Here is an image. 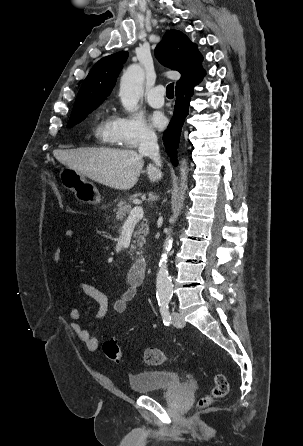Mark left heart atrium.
<instances>
[{
  "mask_svg": "<svg viewBox=\"0 0 303 446\" xmlns=\"http://www.w3.org/2000/svg\"><path fill=\"white\" fill-rule=\"evenodd\" d=\"M151 123L155 128L162 130L167 125V118L161 112H155L151 115Z\"/></svg>",
  "mask_w": 303,
  "mask_h": 446,
  "instance_id": "obj_1",
  "label": "left heart atrium"
}]
</instances>
